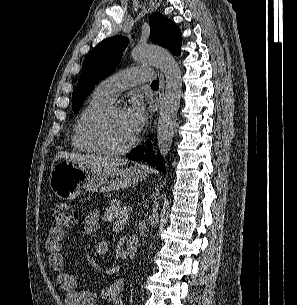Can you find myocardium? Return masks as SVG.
Masks as SVG:
<instances>
[{
    "instance_id": "obj_1",
    "label": "myocardium",
    "mask_w": 297,
    "mask_h": 305,
    "mask_svg": "<svg viewBox=\"0 0 297 305\" xmlns=\"http://www.w3.org/2000/svg\"><path fill=\"white\" fill-rule=\"evenodd\" d=\"M121 110L116 105H107L92 113L83 123L82 132L84 138L99 152L107 155H120L130 151L137 143L135 136L126 145L118 148L109 147L99 135V125L114 111Z\"/></svg>"
}]
</instances>
